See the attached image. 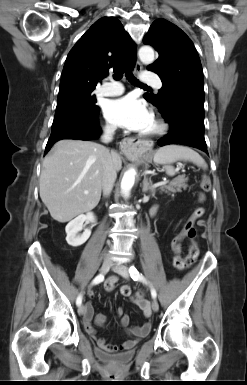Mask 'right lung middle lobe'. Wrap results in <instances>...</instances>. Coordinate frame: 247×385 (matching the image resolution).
Masks as SVG:
<instances>
[{
	"mask_svg": "<svg viewBox=\"0 0 247 385\" xmlns=\"http://www.w3.org/2000/svg\"><path fill=\"white\" fill-rule=\"evenodd\" d=\"M93 90L70 89L61 91L57 98V107L54 121L58 122L74 115H94L98 113L96 97L92 95Z\"/></svg>",
	"mask_w": 247,
	"mask_h": 385,
	"instance_id": "right-lung-middle-lobe-1",
	"label": "right lung middle lobe"
}]
</instances>
